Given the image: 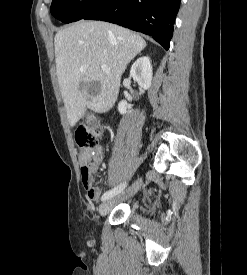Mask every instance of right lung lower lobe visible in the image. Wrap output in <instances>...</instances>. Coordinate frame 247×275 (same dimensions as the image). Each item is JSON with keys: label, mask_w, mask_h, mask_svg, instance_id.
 Masks as SVG:
<instances>
[{"label": "right lung lower lobe", "mask_w": 247, "mask_h": 275, "mask_svg": "<svg viewBox=\"0 0 247 275\" xmlns=\"http://www.w3.org/2000/svg\"><path fill=\"white\" fill-rule=\"evenodd\" d=\"M180 0H104L83 19L101 20L152 36L169 49Z\"/></svg>", "instance_id": "98d812e1"}]
</instances>
